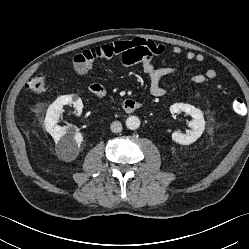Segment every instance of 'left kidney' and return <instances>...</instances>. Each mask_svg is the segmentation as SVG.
Here are the masks:
<instances>
[{
  "mask_svg": "<svg viewBox=\"0 0 249 249\" xmlns=\"http://www.w3.org/2000/svg\"><path fill=\"white\" fill-rule=\"evenodd\" d=\"M170 112L171 114H179L184 112L192 117V120L189 122V126L192 128V130L187 134H183L178 131L173 132V141L181 145H190L201 137L205 129V120L200 109L195 108L190 104L175 103L170 106Z\"/></svg>",
  "mask_w": 249,
  "mask_h": 249,
  "instance_id": "5707ae66",
  "label": "left kidney"
}]
</instances>
